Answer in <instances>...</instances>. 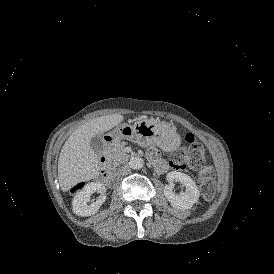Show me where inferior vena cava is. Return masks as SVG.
Masks as SVG:
<instances>
[{
    "label": "inferior vena cava",
    "instance_id": "inferior-vena-cava-1",
    "mask_svg": "<svg viewBox=\"0 0 274 274\" xmlns=\"http://www.w3.org/2000/svg\"><path fill=\"white\" fill-rule=\"evenodd\" d=\"M129 172H130V167H129V165L121 166V167L119 168V171H118V173H119L120 175H127V174H129Z\"/></svg>",
    "mask_w": 274,
    "mask_h": 274
}]
</instances>
